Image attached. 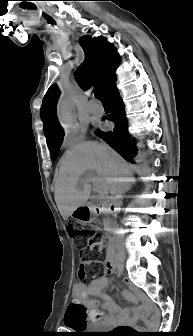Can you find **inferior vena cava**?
Masks as SVG:
<instances>
[{"label": "inferior vena cava", "mask_w": 193, "mask_h": 336, "mask_svg": "<svg viewBox=\"0 0 193 336\" xmlns=\"http://www.w3.org/2000/svg\"><path fill=\"white\" fill-rule=\"evenodd\" d=\"M112 200H113V203L115 205H119L121 203L119 194L114 193V196L112 197Z\"/></svg>", "instance_id": "602c4592"}]
</instances>
